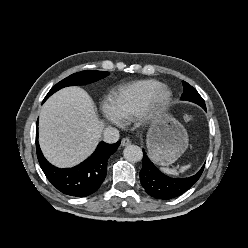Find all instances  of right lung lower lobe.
Here are the masks:
<instances>
[{"instance_id":"1","label":"right lung lower lobe","mask_w":248,"mask_h":248,"mask_svg":"<svg viewBox=\"0 0 248 248\" xmlns=\"http://www.w3.org/2000/svg\"><path fill=\"white\" fill-rule=\"evenodd\" d=\"M119 145L120 141L115 144L100 142L94 153L79 165L73 168H57L51 165L41 152L37 123L36 150L39 164L50 183L66 195L85 197L98 190L107 173V160Z\"/></svg>"}]
</instances>
